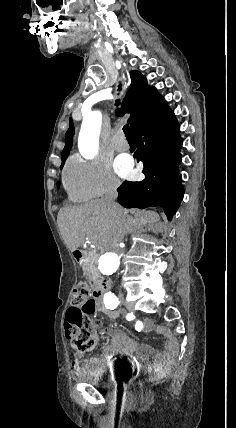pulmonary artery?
I'll return each mask as SVG.
<instances>
[{
  "mask_svg": "<svg viewBox=\"0 0 236 428\" xmlns=\"http://www.w3.org/2000/svg\"><path fill=\"white\" fill-rule=\"evenodd\" d=\"M115 149L119 152L127 151L129 149V144L126 141L120 142L115 146Z\"/></svg>",
  "mask_w": 236,
  "mask_h": 428,
  "instance_id": "1",
  "label": "pulmonary artery"
}]
</instances>
